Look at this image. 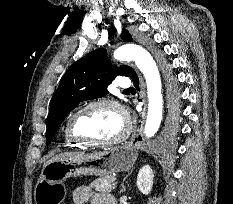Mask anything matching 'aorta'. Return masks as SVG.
<instances>
[{"instance_id": "obj_1", "label": "aorta", "mask_w": 233, "mask_h": 204, "mask_svg": "<svg viewBox=\"0 0 233 204\" xmlns=\"http://www.w3.org/2000/svg\"><path fill=\"white\" fill-rule=\"evenodd\" d=\"M114 58L118 61L134 60L145 77L148 92V114L144 133L147 138H150L158 131L163 114L162 84L157 64L146 49L136 44L120 46L114 52Z\"/></svg>"}]
</instances>
